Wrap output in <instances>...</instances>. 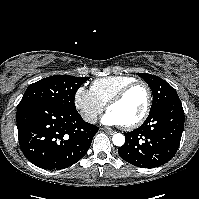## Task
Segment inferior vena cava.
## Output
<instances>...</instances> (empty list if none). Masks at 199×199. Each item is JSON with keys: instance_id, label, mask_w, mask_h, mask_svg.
Segmentation results:
<instances>
[{"instance_id": "602c4592", "label": "inferior vena cava", "mask_w": 199, "mask_h": 199, "mask_svg": "<svg viewBox=\"0 0 199 199\" xmlns=\"http://www.w3.org/2000/svg\"><path fill=\"white\" fill-rule=\"evenodd\" d=\"M83 119L88 123H96L97 114L93 112H87L83 115Z\"/></svg>"}]
</instances>
